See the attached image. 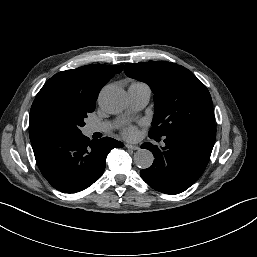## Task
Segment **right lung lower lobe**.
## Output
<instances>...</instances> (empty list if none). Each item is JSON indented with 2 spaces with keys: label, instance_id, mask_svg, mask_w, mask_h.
Wrapping results in <instances>:
<instances>
[{
  "label": "right lung lower lobe",
  "instance_id": "obj_1",
  "mask_svg": "<svg viewBox=\"0 0 257 257\" xmlns=\"http://www.w3.org/2000/svg\"><path fill=\"white\" fill-rule=\"evenodd\" d=\"M120 141L109 137L90 141L81 134L41 136L32 143L42 175L57 190L74 193L97 181L106 166V157Z\"/></svg>",
  "mask_w": 257,
  "mask_h": 257
}]
</instances>
